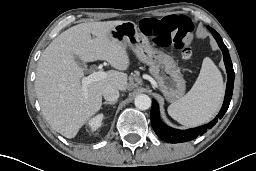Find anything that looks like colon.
<instances>
[{"instance_id":"5ec220e1","label":"colon","mask_w":256,"mask_h":171,"mask_svg":"<svg viewBox=\"0 0 256 171\" xmlns=\"http://www.w3.org/2000/svg\"><path fill=\"white\" fill-rule=\"evenodd\" d=\"M139 27L155 45L179 49L187 60L194 56L190 46L194 24L188 17L171 15L161 19L145 18L140 21Z\"/></svg>"}]
</instances>
